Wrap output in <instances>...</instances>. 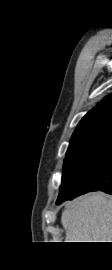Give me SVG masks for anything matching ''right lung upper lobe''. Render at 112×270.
<instances>
[{
    "instance_id": "cb5924a9",
    "label": "right lung upper lobe",
    "mask_w": 112,
    "mask_h": 270,
    "mask_svg": "<svg viewBox=\"0 0 112 270\" xmlns=\"http://www.w3.org/2000/svg\"><path fill=\"white\" fill-rule=\"evenodd\" d=\"M103 125H112V94L106 96L94 109L82 118L72 138Z\"/></svg>"
}]
</instances>
